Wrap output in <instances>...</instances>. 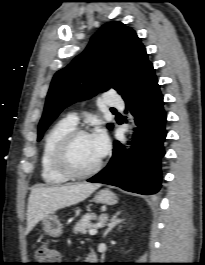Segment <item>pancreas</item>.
<instances>
[{"label":"pancreas","instance_id":"pancreas-1","mask_svg":"<svg viewBox=\"0 0 205 265\" xmlns=\"http://www.w3.org/2000/svg\"><path fill=\"white\" fill-rule=\"evenodd\" d=\"M95 215L91 214V213H87L84 216H82V218L76 223V225L73 228V232L75 234L81 233V234H85L86 232H88L91 228L94 227V224L91 223V219L94 218ZM106 219V215L102 214L99 217V221L100 222H104Z\"/></svg>","mask_w":205,"mask_h":265}]
</instances>
